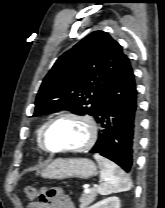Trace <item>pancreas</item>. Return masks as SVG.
I'll return each mask as SVG.
<instances>
[{
  "mask_svg": "<svg viewBox=\"0 0 165 208\" xmlns=\"http://www.w3.org/2000/svg\"><path fill=\"white\" fill-rule=\"evenodd\" d=\"M97 196V190L91 189L89 193H84L79 199L80 208H88V205L92 203Z\"/></svg>",
  "mask_w": 165,
  "mask_h": 208,
  "instance_id": "pancreas-1",
  "label": "pancreas"
}]
</instances>
